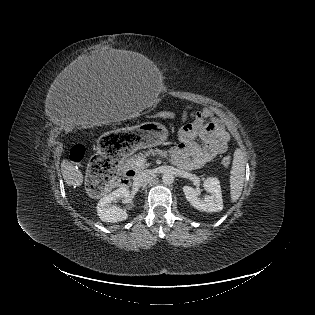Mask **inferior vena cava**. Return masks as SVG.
I'll list each match as a JSON object with an SVG mask.
<instances>
[{"mask_svg": "<svg viewBox=\"0 0 315 315\" xmlns=\"http://www.w3.org/2000/svg\"><path fill=\"white\" fill-rule=\"evenodd\" d=\"M154 173L152 170H144L137 174L134 179V184L137 186H142L146 184L152 177Z\"/></svg>", "mask_w": 315, "mask_h": 315, "instance_id": "1", "label": "inferior vena cava"}]
</instances>
